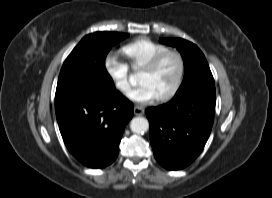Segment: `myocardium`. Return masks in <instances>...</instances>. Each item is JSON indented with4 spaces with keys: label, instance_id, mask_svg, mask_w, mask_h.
<instances>
[{
    "label": "myocardium",
    "instance_id": "myocardium-1",
    "mask_svg": "<svg viewBox=\"0 0 272 198\" xmlns=\"http://www.w3.org/2000/svg\"><path fill=\"white\" fill-rule=\"evenodd\" d=\"M168 56H175L179 62V72H178V76L177 79L173 85V87L165 94L157 97L158 101L164 102V101H168L171 98H173L178 91L180 90L183 81H184V77H185V60L184 57L182 56V54L176 50H172V49H168L165 51H162L160 53H158L156 56H154L143 68V71L146 72H153L155 71L159 65L164 61L165 58H167Z\"/></svg>",
    "mask_w": 272,
    "mask_h": 198
}]
</instances>
